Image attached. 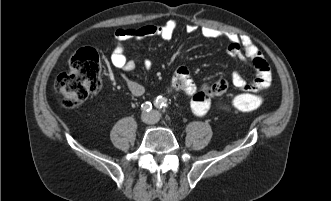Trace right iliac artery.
Instances as JSON below:
<instances>
[{
  "label": "right iliac artery",
  "instance_id": "1",
  "mask_svg": "<svg viewBox=\"0 0 331 201\" xmlns=\"http://www.w3.org/2000/svg\"><path fill=\"white\" fill-rule=\"evenodd\" d=\"M142 109L149 112L152 109V104L150 102H144L142 104Z\"/></svg>",
  "mask_w": 331,
  "mask_h": 201
}]
</instances>
